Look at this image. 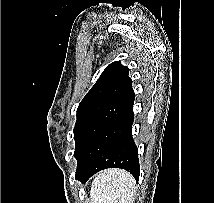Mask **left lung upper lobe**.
Instances as JSON below:
<instances>
[{"mask_svg": "<svg viewBox=\"0 0 214 203\" xmlns=\"http://www.w3.org/2000/svg\"><path fill=\"white\" fill-rule=\"evenodd\" d=\"M128 74V67L121 65L119 61L109 64L82 99L77 109V121L74 128L76 144L74 155L89 126L131 81Z\"/></svg>", "mask_w": 214, "mask_h": 203, "instance_id": "left-lung-upper-lobe-1", "label": "left lung upper lobe"}]
</instances>
